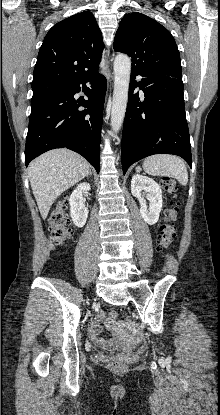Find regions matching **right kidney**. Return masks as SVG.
I'll return each mask as SVG.
<instances>
[{"instance_id":"ca27d5eb","label":"right kidney","mask_w":220,"mask_h":415,"mask_svg":"<svg viewBox=\"0 0 220 415\" xmlns=\"http://www.w3.org/2000/svg\"><path fill=\"white\" fill-rule=\"evenodd\" d=\"M90 189L91 188L88 183H81L72 192L69 198L70 215L73 223L78 228H81L85 225L88 217V209L84 206L83 202V192H87Z\"/></svg>"}]
</instances>
